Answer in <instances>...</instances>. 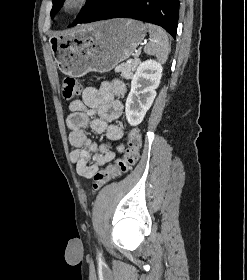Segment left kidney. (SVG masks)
I'll return each instance as SVG.
<instances>
[{"label": "left kidney", "mask_w": 247, "mask_h": 280, "mask_svg": "<svg viewBox=\"0 0 247 280\" xmlns=\"http://www.w3.org/2000/svg\"><path fill=\"white\" fill-rule=\"evenodd\" d=\"M163 67L155 60H147L137 68L131 81V91L125 104V114L131 126L139 125L151 107L160 84Z\"/></svg>", "instance_id": "left-kidney-1"}]
</instances>
